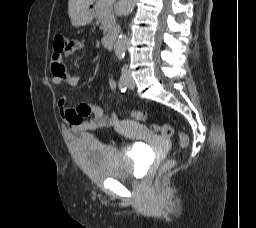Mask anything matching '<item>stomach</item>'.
Masks as SVG:
<instances>
[{"label": "stomach", "mask_w": 256, "mask_h": 228, "mask_svg": "<svg viewBox=\"0 0 256 228\" xmlns=\"http://www.w3.org/2000/svg\"><path fill=\"white\" fill-rule=\"evenodd\" d=\"M93 18H94V10L89 5L76 11L71 16V23L74 27H81L91 23Z\"/></svg>", "instance_id": "obj_1"}]
</instances>
